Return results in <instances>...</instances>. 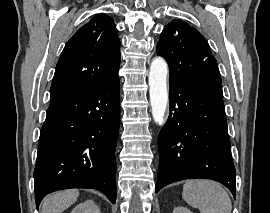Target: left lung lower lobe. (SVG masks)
Masks as SVG:
<instances>
[{
	"label": "left lung lower lobe",
	"mask_w": 270,
	"mask_h": 213,
	"mask_svg": "<svg viewBox=\"0 0 270 213\" xmlns=\"http://www.w3.org/2000/svg\"><path fill=\"white\" fill-rule=\"evenodd\" d=\"M169 118L158 137L156 192L184 179H212L235 198L236 171L223 93L191 82L169 81Z\"/></svg>",
	"instance_id": "obj_1"
}]
</instances>
